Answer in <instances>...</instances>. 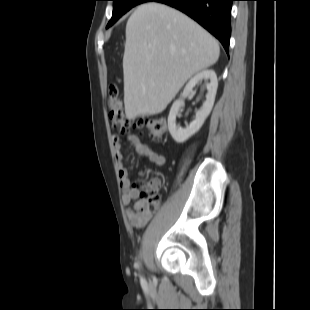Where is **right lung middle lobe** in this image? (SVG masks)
<instances>
[{"label":"right lung middle lobe","instance_id":"dd1d6c3e","mask_svg":"<svg viewBox=\"0 0 310 310\" xmlns=\"http://www.w3.org/2000/svg\"><path fill=\"white\" fill-rule=\"evenodd\" d=\"M113 14L106 28L112 26L123 14H125L132 7L147 2L148 0H112Z\"/></svg>","mask_w":310,"mask_h":310}]
</instances>
